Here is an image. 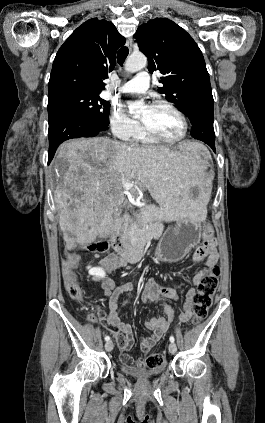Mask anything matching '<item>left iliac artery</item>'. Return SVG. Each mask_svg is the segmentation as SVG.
<instances>
[{
    "label": "left iliac artery",
    "mask_w": 265,
    "mask_h": 423,
    "mask_svg": "<svg viewBox=\"0 0 265 423\" xmlns=\"http://www.w3.org/2000/svg\"><path fill=\"white\" fill-rule=\"evenodd\" d=\"M169 340H170V342H174L175 341V339H174L173 336H170Z\"/></svg>",
    "instance_id": "obj_1"
}]
</instances>
